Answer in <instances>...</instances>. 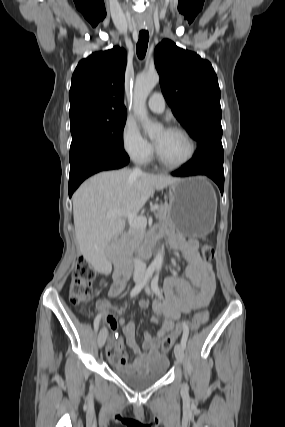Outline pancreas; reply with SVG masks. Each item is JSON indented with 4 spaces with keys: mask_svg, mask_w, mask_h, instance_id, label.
<instances>
[{
    "mask_svg": "<svg viewBox=\"0 0 285 427\" xmlns=\"http://www.w3.org/2000/svg\"><path fill=\"white\" fill-rule=\"evenodd\" d=\"M154 214H155V217L160 222H167L168 221V205L159 204L158 209L155 211ZM145 236H146L145 227H130L128 232L126 233V236L124 239V245L127 246L130 249V251H135L139 248Z\"/></svg>",
    "mask_w": 285,
    "mask_h": 427,
    "instance_id": "obj_1",
    "label": "pancreas"
}]
</instances>
